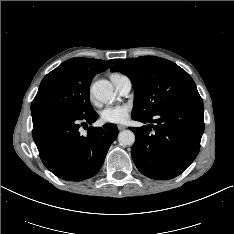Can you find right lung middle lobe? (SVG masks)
<instances>
[{
  "label": "right lung middle lobe",
  "mask_w": 234,
  "mask_h": 234,
  "mask_svg": "<svg viewBox=\"0 0 234 234\" xmlns=\"http://www.w3.org/2000/svg\"><path fill=\"white\" fill-rule=\"evenodd\" d=\"M91 80L83 78L62 63L41 81L31 110L43 107L60 108L74 114L94 111L89 100Z\"/></svg>",
  "instance_id": "right-lung-middle-lobe-1"
}]
</instances>
